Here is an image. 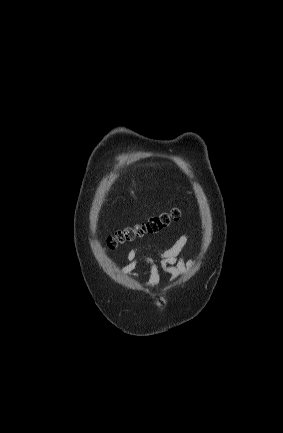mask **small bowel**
Here are the masks:
<instances>
[{"instance_id": "1", "label": "small bowel", "mask_w": 283, "mask_h": 433, "mask_svg": "<svg viewBox=\"0 0 283 433\" xmlns=\"http://www.w3.org/2000/svg\"><path fill=\"white\" fill-rule=\"evenodd\" d=\"M190 235H181L175 243L168 249H157L153 246L132 248L126 255L127 264L122 268L124 274L139 278L137 266L146 263L149 266V279L145 282L146 287L155 286L161 273L168 274L171 281H175L182 276L187 267L192 266L194 258L185 261L182 251Z\"/></svg>"}]
</instances>
